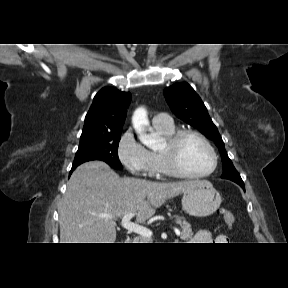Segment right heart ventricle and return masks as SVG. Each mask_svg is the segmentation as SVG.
Returning a JSON list of instances; mask_svg holds the SVG:
<instances>
[{"label":"right heart ventricle","mask_w":288,"mask_h":288,"mask_svg":"<svg viewBox=\"0 0 288 288\" xmlns=\"http://www.w3.org/2000/svg\"><path fill=\"white\" fill-rule=\"evenodd\" d=\"M154 130L163 139L169 138L171 135H173L176 132V128H175L174 124H172L169 127L154 126ZM150 154H151L152 168H153L156 175H158V176H175L166 167V165H165V163L161 157L160 151H152V152H150Z\"/></svg>","instance_id":"right-heart-ventricle-1"}]
</instances>
